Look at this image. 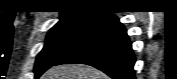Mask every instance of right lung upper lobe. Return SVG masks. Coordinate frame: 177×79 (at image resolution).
Wrapping results in <instances>:
<instances>
[{"mask_svg":"<svg viewBox=\"0 0 177 79\" xmlns=\"http://www.w3.org/2000/svg\"><path fill=\"white\" fill-rule=\"evenodd\" d=\"M106 12L102 11L96 2H78L66 11L61 12V20L59 22L80 20L91 17H104Z\"/></svg>","mask_w":177,"mask_h":79,"instance_id":"1","label":"right lung upper lobe"}]
</instances>
